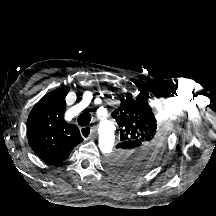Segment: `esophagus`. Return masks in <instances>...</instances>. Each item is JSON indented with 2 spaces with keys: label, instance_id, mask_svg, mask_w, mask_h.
I'll return each instance as SVG.
<instances>
[{
  "label": "esophagus",
  "instance_id": "1",
  "mask_svg": "<svg viewBox=\"0 0 216 216\" xmlns=\"http://www.w3.org/2000/svg\"><path fill=\"white\" fill-rule=\"evenodd\" d=\"M81 135L83 138L85 139H90L92 137H94V133H95V129L93 127H82L80 129ZM88 134V136L86 137L85 134Z\"/></svg>",
  "mask_w": 216,
  "mask_h": 216
}]
</instances>
